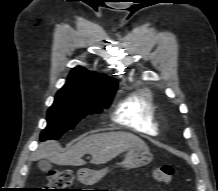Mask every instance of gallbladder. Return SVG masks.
Returning a JSON list of instances; mask_svg holds the SVG:
<instances>
[{"mask_svg":"<svg viewBox=\"0 0 218 191\" xmlns=\"http://www.w3.org/2000/svg\"><path fill=\"white\" fill-rule=\"evenodd\" d=\"M38 167L41 171H48L52 168V164L48 159H40L38 161Z\"/></svg>","mask_w":218,"mask_h":191,"instance_id":"bac80fb5","label":"gallbladder"}]
</instances>
